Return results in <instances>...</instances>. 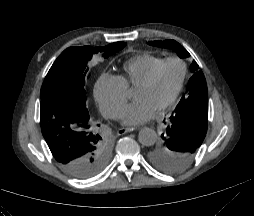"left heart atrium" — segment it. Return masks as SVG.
I'll use <instances>...</instances> for the list:
<instances>
[{"label":"left heart atrium","instance_id":"obj_1","mask_svg":"<svg viewBox=\"0 0 254 216\" xmlns=\"http://www.w3.org/2000/svg\"><path fill=\"white\" fill-rule=\"evenodd\" d=\"M156 109L147 101L136 99L123 112L122 123L126 126H136L152 119Z\"/></svg>","mask_w":254,"mask_h":216}]
</instances>
